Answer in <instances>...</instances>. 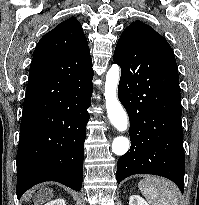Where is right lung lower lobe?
Segmentation results:
<instances>
[{
	"instance_id": "obj_1",
	"label": "right lung lower lobe",
	"mask_w": 199,
	"mask_h": 205,
	"mask_svg": "<svg viewBox=\"0 0 199 205\" xmlns=\"http://www.w3.org/2000/svg\"><path fill=\"white\" fill-rule=\"evenodd\" d=\"M92 79L93 75L73 80L62 95L23 112L16 158L18 198L45 181L81 189ZM48 88L41 82L29 83L25 97Z\"/></svg>"
}]
</instances>
